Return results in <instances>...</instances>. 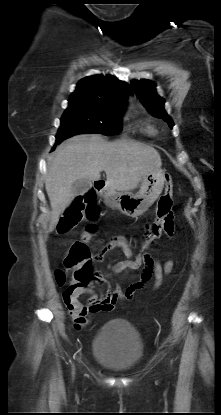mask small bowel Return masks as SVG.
<instances>
[{
  "instance_id": "small-bowel-1",
  "label": "small bowel",
  "mask_w": 221,
  "mask_h": 415,
  "mask_svg": "<svg viewBox=\"0 0 221 415\" xmlns=\"http://www.w3.org/2000/svg\"><path fill=\"white\" fill-rule=\"evenodd\" d=\"M151 223L146 224L144 234H147ZM164 232L168 237L174 234V222L165 228ZM157 238V237H156ZM152 240V244L155 239ZM119 249L126 256V260L119 261L111 267V275L116 276L125 269L137 270V264L143 263L144 269L141 270L138 281L130 284L124 291L118 284H115L105 296H99L91 287L70 284L63 292V299L68 311L76 327H82L90 322V316L101 311H111L114 309L118 301L131 300L135 293L142 290L146 284L154 278V288H158L163 280L164 275L168 274L172 267V262L162 265L158 260L153 258L149 253L144 252V262H138L134 248L131 242L122 235L112 237L105 243L99 251L97 258L110 250ZM139 253V252H138ZM90 295L87 304L79 301L81 295Z\"/></svg>"
}]
</instances>
